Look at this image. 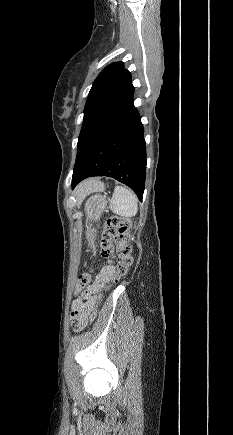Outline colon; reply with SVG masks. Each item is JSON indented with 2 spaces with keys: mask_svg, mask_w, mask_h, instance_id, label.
Listing matches in <instances>:
<instances>
[{
  "mask_svg": "<svg viewBox=\"0 0 233 435\" xmlns=\"http://www.w3.org/2000/svg\"><path fill=\"white\" fill-rule=\"evenodd\" d=\"M130 226L131 220L120 216H111L103 225L100 242L101 256L106 260L107 264L116 267L112 279L113 283H116L119 279L125 277L129 268L133 264L132 249L126 240ZM93 272L94 269H91L79 276L81 287L84 288L90 284ZM95 316L96 309H90L88 314L89 321H92Z\"/></svg>",
  "mask_w": 233,
  "mask_h": 435,
  "instance_id": "1",
  "label": "colon"
}]
</instances>
